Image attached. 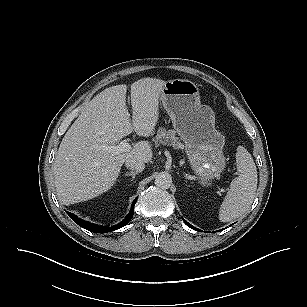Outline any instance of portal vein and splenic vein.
I'll use <instances>...</instances> for the list:
<instances>
[{
	"label": "portal vein and splenic vein",
	"instance_id": "18ae733b",
	"mask_svg": "<svg viewBox=\"0 0 307 307\" xmlns=\"http://www.w3.org/2000/svg\"><path fill=\"white\" fill-rule=\"evenodd\" d=\"M105 149L113 154H118L122 152H129L132 147L126 140H123L118 145L107 146Z\"/></svg>",
	"mask_w": 307,
	"mask_h": 307
}]
</instances>
